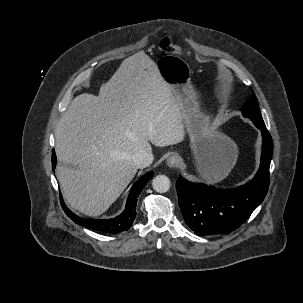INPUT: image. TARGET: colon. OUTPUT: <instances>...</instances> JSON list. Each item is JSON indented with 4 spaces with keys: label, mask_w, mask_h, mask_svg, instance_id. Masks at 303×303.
Wrapping results in <instances>:
<instances>
[{
    "label": "colon",
    "mask_w": 303,
    "mask_h": 303,
    "mask_svg": "<svg viewBox=\"0 0 303 303\" xmlns=\"http://www.w3.org/2000/svg\"><path fill=\"white\" fill-rule=\"evenodd\" d=\"M159 49L163 52H169V53H175V54L181 53L180 47L173 44L171 38L168 36H165L160 40Z\"/></svg>",
    "instance_id": "5ec220e1"
}]
</instances>
